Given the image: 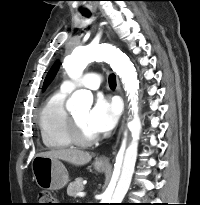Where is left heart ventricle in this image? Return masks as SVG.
Listing matches in <instances>:
<instances>
[{
  "label": "left heart ventricle",
  "instance_id": "left-heart-ventricle-1",
  "mask_svg": "<svg viewBox=\"0 0 200 205\" xmlns=\"http://www.w3.org/2000/svg\"><path fill=\"white\" fill-rule=\"evenodd\" d=\"M89 110L84 108L73 113V117L76 119L82 134L86 137H93L97 134L89 127L87 123Z\"/></svg>",
  "mask_w": 200,
  "mask_h": 205
}]
</instances>
